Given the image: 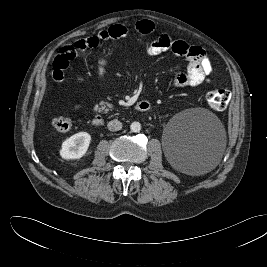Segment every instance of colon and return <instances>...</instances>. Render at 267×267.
I'll return each instance as SVG.
<instances>
[{
	"instance_id": "colon-1",
	"label": "colon",
	"mask_w": 267,
	"mask_h": 267,
	"mask_svg": "<svg viewBox=\"0 0 267 267\" xmlns=\"http://www.w3.org/2000/svg\"><path fill=\"white\" fill-rule=\"evenodd\" d=\"M208 105L215 111H223L229 104L230 92L226 89H214L206 95ZM53 126L60 132H67L72 127V121L67 117H57L53 120Z\"/></svg>"
}]
</instances>
